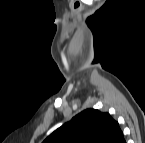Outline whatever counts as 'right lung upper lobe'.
Here are the masks:
<instances>
[{"instance_id": "cb5924a9", "label": "right lung upper lobe", "mask_w": 145, "mask_h": 143, "mask_svg": "<svg viewBox=\"0 0 145 143\" xmlns=\"http://www.w3.org/2000/svg\"><path fill=\"white\" fill-rule=\"evenodd\" d=\"M43 143H125L119 124L108 113L86 109L63 124Z\"/></svg>"}]
</instances>
